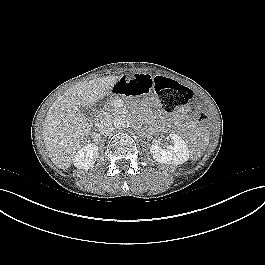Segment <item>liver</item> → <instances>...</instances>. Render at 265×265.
Instances as JSON below:
<instances>
[{
    "label": "liver",
    "instance_id": "1",
    "mask_svg": "<svg viewBox=\"0 0 265 265\" xmlns=\"http://www.w3.org/2000/svg\"><path fill=\"white\" fill-rule=\"evenodd\" d=\"M119 76L80 82L59 96L48 110L43 137L51 161L60 169L73 163L74 155L90 133L89 119L79 108H90L112 90Z\"/></svg>",
    "mask_w": 265,
    "mask_h": 265
}]
</instances>
